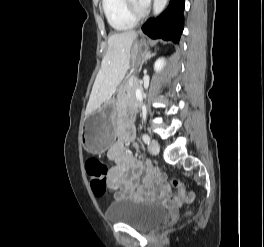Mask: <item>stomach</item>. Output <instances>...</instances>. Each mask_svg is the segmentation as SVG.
I'll return each instance as SVG.
<instances>
[{
	"label": "stomach",
	"mask_w": 264,
	"mask_h": 247,
	"mask_svg": "<svg viewBox=\"0 0 264 247\" xmlns=\"http://www.w3.org/2000/svg\"><path fill=\"white\" fill-rule=\"evenodd\" d=\"M146 45L135 42L132 49L133 62L139 61ZM117 97H112L97 111L87 115L82 123L80 139L84 149L92 154L104 152L116 134Z\"/></svg>",
	"instance_id": "stomach-1"
}]
</instances>
